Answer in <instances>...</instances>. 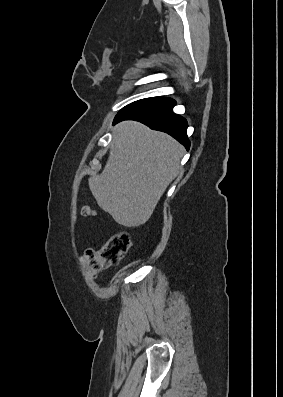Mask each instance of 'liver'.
I'll return each instance as SVG.
<instances>
[{
    "mask_svg": "<svg viewBox=\"0 0 283 397\" xmlns=\"http://www.w3.org/2000/svg\"><path fill=\"white\" fill-rule=\"evenodd\" d=\"M184 148L171 136L124 121L113 129L108 161L89 187L115 222L138 227L148 221L180 170Z\"/></svg>",
    "mask_w": 283,
    "mask_h": 397,
    "instance_id": "liver-1",
    "label": "liver"
}]
</instances>
